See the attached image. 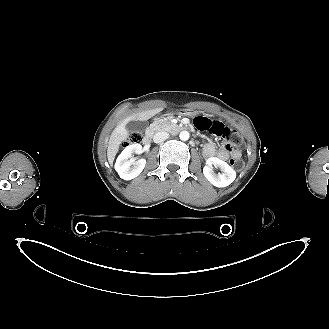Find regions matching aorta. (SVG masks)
<instances>
[{
    "label": "aorta",
    "mask_w": 329,
    "mask_h": 329,
    "mask_svg": "<svg viewBox=\"0 0 329 329\" xmlns=\"http://www.w3.org/2000/svg\"><path fill=\"white\" fill-rule=\"evenodd\" d=\"M189 132L188 131H181L179 137L182 141H186L189 139Z\"/></svg>",
    "instance_id": "aorta-1"
}]
</instances>
